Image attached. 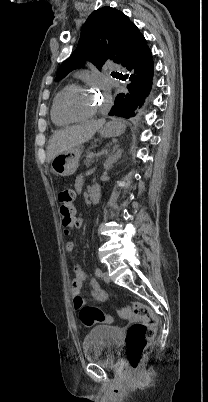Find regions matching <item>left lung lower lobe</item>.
Masks as SVG:
<instances>
[{
  "mask_svg": "<svg viewBox=\"0 0 208 402\" xmlns=\"http://www.w3.org/2000/svg\"><path fill=\"white\" fill-rule=\"evenodd\" d=\"M116 63L121 64L129 76L126 91L115 95L114 105L109 112L111 116L133 117L138 106L148 96L152 86L153 60L150 48L144 36L135 24H132L127 38L117 56Z\"/></svg>",
  "mask_w": 208,
  "mask_h": 402,
  "instance_id": "1",
  "label": "left lung lower lobe"
}]
</instances>
